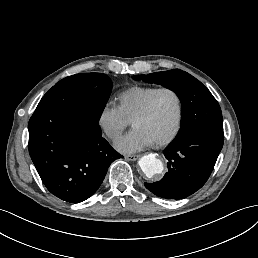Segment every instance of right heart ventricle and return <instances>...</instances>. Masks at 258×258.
I'll list each match as a JSON object with an SVG mask.
<instances>
[{
    "label": "right heart ventricle",
    "instance_id": "1",
    "mask_svg": "<svg viewBox=\"0 0 258 258\" xmlns=\"http://www.w3.org/2000/svg\"><path fill=\"white\" fill-rule=\"evenodd\" d=\"M159 88L156 86H134L121 92L116 107L129 124H135Z\"/></svg>",
    "mask_w": 258,
    "mask_h": 258
}]
</instances>
